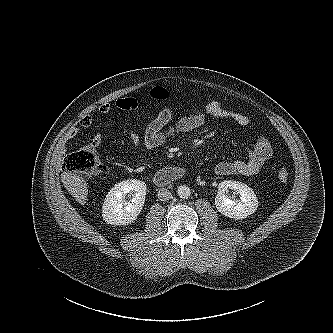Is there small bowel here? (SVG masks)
Returning <instances> with one entry per match:
<instances>
[{
  "mask_svg": "<svg viewBox=\"0 0 333 333\" xmlns=\"http://www.w3.org/2000/svg\"><path fill=\"white\" fill-rule=\"evenodd\" d=\"M115 107L123 111H137L139 102L136 98L124 97L115 102ZM112 105L105 103L99 106L101 114H108ZM205 113L218 119H226L240 126H248L250 118L239 111L227 109L219 101H211L206 105ZM205 113L196 107H191L186 114L172 122V110L169 107L162 108L156 117L148 122L143 129L142 135L134 130L129 132V138L133 146L141 152H149L164 144L169 138L191 132L205 122ZM93 117L86 115L80 120V125L88 128L93 124ZM79 133L78 127L70 128L64 136V142L73 140ZM102 142V136L96 134L93 138V145L98 146ZM273 148L270 140L260 135L257 137L254 146L248 153L246 160L234 159L219 162L215 166V173L218 175H245L250 176L259 172L264 163L272 156Z\"/></svg>",
  "mask_w": 333,
  "mask_h": 333,
  "instance_id": "small-bowel-1",
  "label": "small bowel"
}]
</instances>
